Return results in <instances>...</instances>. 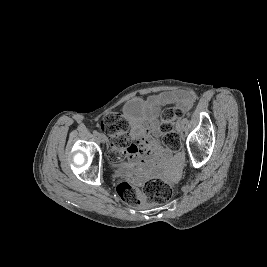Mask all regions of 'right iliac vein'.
I'll list each match as a JSON object with an SVG mask.
<instances>
[{
	"label": "right iliac vein",
	"instance_id": "right-iliac-vein-1",
	"mask_svg": "<svg viewBox=\"0 0 267 267\" xmlns=\"http://www.w3.org/2000/svg\"><path fill=\"white\" fill-rule=\"evenodd\" d=\"M98 137L102 143H104L106 141V136L104 134L101 133L98 135Z\"/></svg>",
	"mask_w": 267,
	"mask_h": 267
}]
</instances>
